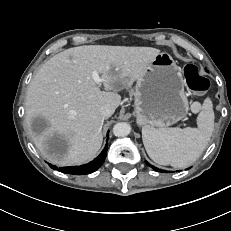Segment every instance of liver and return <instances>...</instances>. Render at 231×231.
Instances as JSON below:
<instances>
[{
  "label": "liver",
  "mask_w": 231,
  "mask_h": 231,
  "mask_svg": "<svg viewBox=\"0 0 231 231\" xmlns=\"http://www.w3.org/2000/svg\"><path fill=\"white\" fill-rule=\"evenodd\" d=\"M160 50L152 47L85 45L64 50L49 59L31 80L25 100V118L41 155L59 166L83 164L98 153L104 118L102 106L113 111L120 105L119 91L140 78ZM101 75V91L92 73ZM42 117L49 127L41 134L31 122ZM59 138L63 153L51 152L49 142Z\"/></svg>",
  "instance_id": "liver-1"
}]
</instances>
